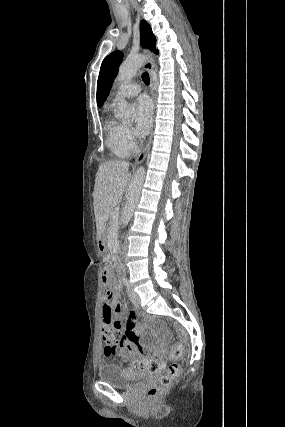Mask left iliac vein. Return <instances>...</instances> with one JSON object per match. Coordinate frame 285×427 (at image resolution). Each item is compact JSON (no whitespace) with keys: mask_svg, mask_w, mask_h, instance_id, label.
Segmentation results:
<instances>
[{"mask_svg":"<svg viewBox=\"0 0 285 427\" xmlns=\"http://www.w3.org/2000/svg\"><path fill=\"white\" fill-rule=\"evenodd\" d=\"M127 293H128L130 300L132 301L133 304L138 305L140 303V298H139L138 294L133 290V288L128 287Z\"/></svg>","mask_w":285,"mask_h":427,"instance_id":"1","label":"left iliac vein"}]
</instances>
